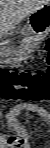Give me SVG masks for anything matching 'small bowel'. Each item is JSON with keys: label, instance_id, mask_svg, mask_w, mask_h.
I'll return each mask as SVG.
<instances>
[{"label": "small bowel", "instance_id": "c3829d8e", "mask_svg": "<svg viewBox=\"0 0 50 148\" xmlns=\"http://www.w3.org/2000/svg\"><path fill=\"white\" fill-rule=\"evenodd\" d=\"M23 111H31L39 114L42 117H47L48 113L43 108L26 103H18L13 107L6 110V120L10 127L14 128L16 132V137L11 139H1L0 144L2 147H12V148H29L27 141L29 139V134L26 129L18 125L15 121V116Z\"/></svg>", "mask_w": 50, "mask_h": 148}]
</instances>
